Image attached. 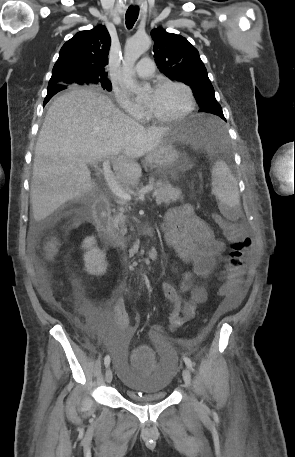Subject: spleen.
<instances>
[{
	"mask_svg": "<svg viewBox=\"0 0 295 457\" xmlns=\"http://www.w3.org/2000/svg\"><path fill=\"white\" fill-rule=\"evenodd\" d=\"M212 192L219 200L221 213L233 219L239 212L238 183L224 161H216L212 168Z\"/></svg>",
	"mask_w": 295,
	"mask_h": 457,
	"instance_id": "spleen-1",
	"label": "spleen"
}]
</instances>
